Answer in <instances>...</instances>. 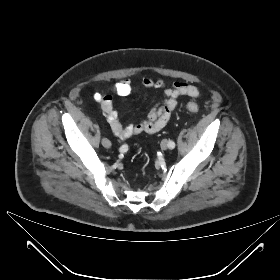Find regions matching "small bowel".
<instances>
[{
  "mask_svg": "<svg viewBox=\"0 0 280 280\" xmlns=\"http://www.w3.org/2000/svg\"><path fill=\"white\" fill-rule=\"evenodd\" d=\"M142 84L147 89L162 90L165 99L162 103H157L151 108L146 120L135 124H122L112 102L113 95L127 96L132 92V84L129 79L125 78L119 81L105 93L97 92L93 95L94 100L104 112L111 130L121 139H128L143 132L149 134L159 132L177 108L178 101L182 96L196 98L200 95L199 89L187 82L167 84L163 79H153L150 76H145Z\"/></svg>",
  "mask_w": 280,
  "mask_h": 280,
  "instance_id": "1",
  "label": "small bowel"
}]
</instances>
